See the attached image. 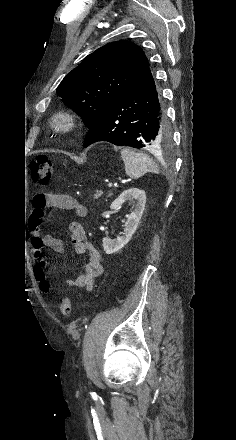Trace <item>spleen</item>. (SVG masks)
I'll list each match as a JSON object with an SVG mask.
<instances>
[{
	"instance_id": "obj_1",
	"label": "spleen",
	"mask_w": 236,
	"mask_h": 440,
	"mask_svg": "<svg viewBox=\"0 0 236 440\" xmlns=\"http://www.w3.org/2000/svg\"><path fill=\"white\" fill-rule=\"evenodd\" d=\"M121 157L125 164L126 174L133 179H138L147 172H158L156 163L144 153L135 152L130 148H123Z\"/></svg>"
}]
</instances>
